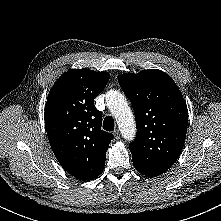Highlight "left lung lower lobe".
Here are the masks:
<instances>
[{
    "instance_id": "obj_1",
    "label": "left lung lower lobe",
    "mask_w": 221,
    "mask_h": 221,
    "mask_svg": "<svg viewBox=\"0 0 221 221\" xmlns=\"http://www.w3.org/2000/svg\"><path fill=\"white\" fill-rule=\"evenodd\" d=\"M133 164L138 172L150 177L161 175L162 173L168 170L167 168L142 165L138 162H133Z\"/></svg>"
}]
</instances>
